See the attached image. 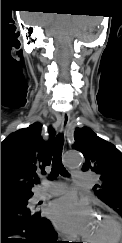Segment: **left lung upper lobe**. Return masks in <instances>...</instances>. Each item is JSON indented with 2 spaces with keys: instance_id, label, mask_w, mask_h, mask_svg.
<instances>
[{
  "instance_id": "obj_1",
  "label": "left lung upper lobe",
  "mask_w": 122,
  "mask_h": 243,
  "mask_svg": "<svg viewBox=\"0 0 122 243\" xmlns=\"http://www.w3.org/2000/svg\"><path fill=\"white\" fill-rule=\"evenodd\" d=\"M74 139L73 147L86 159L82 170L100 175L95 195L122 216V153L88 127L77 128Z\"/></svg>"
}]
</instances>
